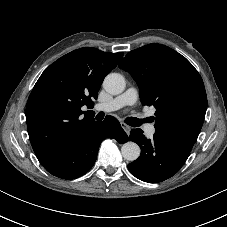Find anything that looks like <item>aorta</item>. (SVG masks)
I'll list each match as a JSON object with an SVG mask.
<instances>
[{
	"instance_id": "obj_1",
	"label": "aorta",
	"mask_w": 227,
	"mask_h": 227,
	"mask_svg": "<svg viewBox=\"0 0 227 227\" xmlns=\"http://www.w3.org/2000/svg\"><path fill=\"white\" fill-rule=\"evenodd\" d=\"M125 79L121 74L111 73L107 75L103 82L104 89L112 95L121 94L125 89ZM140 147L134 142H126L121 147V153L124 159L135 161L140 156Z\"/></svg>"
}]
</instances>
